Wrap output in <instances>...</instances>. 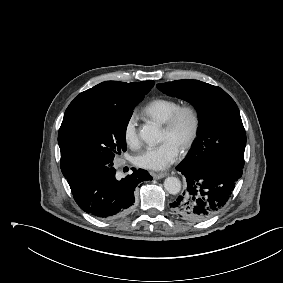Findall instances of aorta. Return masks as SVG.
Listing matches in <instances>:
<instances>
[{"mask_svg": "<svg viewBox=\"0 0 283 283\" xmlns=\"http://www.w3.org/2000/svg\"><path fill=\"white\" fill-rule=\"evenodd\" d=\"M139 134L141 139L149 145H156L162 141L160 126L153 122L145 124ZM164 187L168 193L176 195L181 190V182L176 177H167L164 181Z\"/></svg>", "mask_w": 283, "mask_h": 283, "instance_id": "obj_1", "label": "aorta"}]
</instances>
